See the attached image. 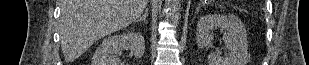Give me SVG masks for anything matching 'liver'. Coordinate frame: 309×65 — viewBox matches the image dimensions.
Here are the masks:
<instances>
[{
    "mask_svg": "<svg viewBox=\"0 0 309 65\" xmlns=\"http://www.w3.org/2000/svg\"><path fill=\"white\" fill-rule=\"evenodd\" d=\"M148 0H61L59 31L66 62L80 57L98 39L137 21Z\"/></svg>",
    "mask_w": 309,
    "mask_h": 65,
    "instance_id": "1",
    "label": "liver"
}]
</instances>
